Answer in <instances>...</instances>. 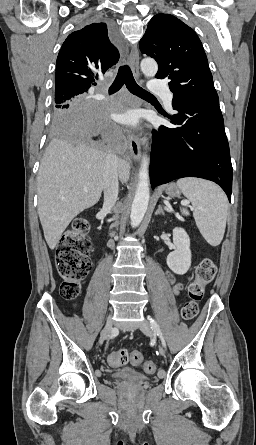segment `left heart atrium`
<instances>
[{
	"label": "left heart atrium",
	"mask_w": 256,
	"mask_h": 445,
	"mask_svg": "<svg viewBox=\"0 0 256 445\" xmlns=\"http://www.w3.org/2000/svg\"><path fill=\"white\" fill-rule=\"evenodd\" d=\"M116 118L123 124L135 126L139 123V112L135 109H129L116 114Z\"/></svg>",
	"instance_id": "obj_1"
}]
</instances>
